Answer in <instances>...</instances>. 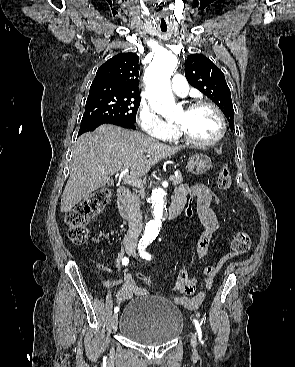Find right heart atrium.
<instances>
[{
  "mask_svg": "<svg viewBox=\"0 0 295 367\" xmlns=\"http://www.w3.org/2000/svg\"><path fill=\"white\" fill-rule=\"evenodd\" d=\"M137 121L148 135L158 139H170L175 135V127L164 121L154 107L141 104L137 112Z\"/></svg>",
  "mask_w": 295,
  "mask_h": 367,
  "instance_id": "right-heart-atrium-1",
  "label": "right heart atrium"
}]
</instances>
